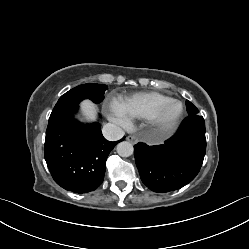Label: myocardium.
Instances as JSON below:
<instances>
[{
  "label": "myocardium",
  "instance_id": "obj_1",
  "mask_svg": "<svg viewBox=\"0 0 249 249\" xmlns=\"http://www.w3.org/2000/svg\"><path fill=\"white\" fill-rule=\"evenodd\" d=\"M174 105H176L178 109L174 114L169 115V110ZM183 112V103L177 99H170L158 106L147 119L160 136H165L176 129Z\"/></svg>",
  "mask_w": 249,
  "mask_h": 249
}]
</instances>
